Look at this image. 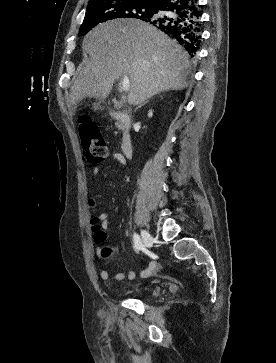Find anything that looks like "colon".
Segmentation results:
<instances>
[{"instance_id": "1", "label": "colon", "mask_w": 276, "mask_h": 363, "mask_svg": "<svg viewBox=\"0 0 276 363\" xmlns=\"http://www.w3.org/2000/svg\"><path fill=\"white\" fill-rule=\"evenodd\" d=\"M79 132L86 159L91 163L101 162L107 156L108 148L106 140L101 134L98 126L92 121L85 119L80 125ZM104 236V232L99 227H96V240L102 241ZM110 254L111 250L109 248L102 250V255L104 257H108Z\"/></svg>"}]
</instances>
